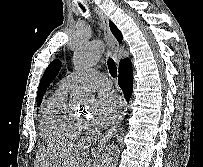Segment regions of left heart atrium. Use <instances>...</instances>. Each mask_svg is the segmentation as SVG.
Listing matches in <instances>:
<instances>
[{
    "label": "left heart atrium",
    "instance_id": "left-heart-atrium-1",
    "mask_svg": "<svg viewBox=\"0 0 203 167\" xmlns=\"http://www.w3.org/2000/svg\"><path fill=\"white\" fill-rule=\"evenodd\" d=\"M122 102L119 96L111 91L100 94L96 101V123L99 126L111 124L121 110Z\"/></svg>",
    "mask_w": 203,
    "mask_h": 167
}]
</instances>
